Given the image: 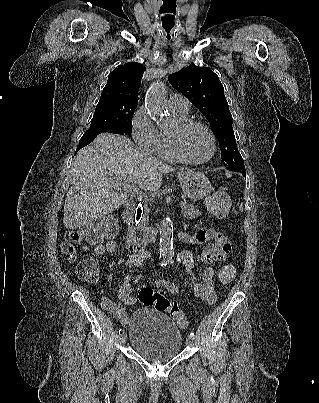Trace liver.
Instances as JSON below:
<instances>
[{"instance_id":"obj_1","label":"liver","mask_w":319,"mask_h":403,"mask_svg":"<svg viewBox=\"0 0 319 403\" xmlns=\"http://www.w3.org/2000/svg\"><path fill=\"white\" fill-rule=\"evenodd\" d=\"M174 170L126 136L100 134L74 158L70 172L73 185L64 204V226L80 228L117 210L128 198L123 183L153 192L161 187L163 174Z\"/></svg>"}]
</instances>
